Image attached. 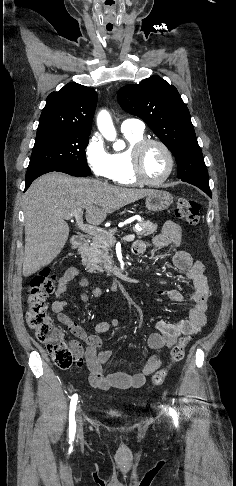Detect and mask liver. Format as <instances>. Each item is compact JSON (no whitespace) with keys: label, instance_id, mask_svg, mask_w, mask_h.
I'll use <instances>...</instances> for the list:
<instances>
[{"label":"liver","instance_id":"liver-1","mask_svg":"<svg viewBox=\"0 0 236 486\" xmlns=\"http://www.w3.org/2000/svg\"><path fill=\"white\" fill-rule=\"evenodd\" d=\"M152 189L113 186L90 178H75L58 172L35 180L24 195L25 252L23 276L29 277L50 264L69 236L62 217L77 209L86 210V221L100 225L121 207L138 201Z\"/></svg>","mask_w":236,"mask_h":486}]
</instances>
